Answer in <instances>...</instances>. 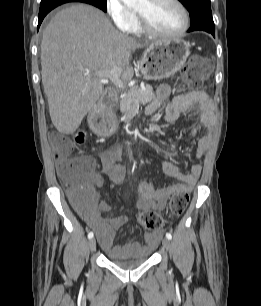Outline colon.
Returning a JSON list of instances; mask_svg holds the SVG:
<instances>
[{"label": "colon", "instance_id": "obj_1", "mask_svg": "<svg viewBox=\"0 0 261 306\" xmlns=\"http://www.w3.org/2000/svg\"><path fill=\"white\" fill-rule=\"evenodd\" d=\"M212 70V64L198 56L191 57L184 66L181 74L183 85L191 92L201 89ZM101 113L95 118L96 124H101L106 131L111 129V117L107 109H100ZM86 139L84 132H79L74 141L82 143ZM56 153L65 160L59 168V175L63 182L70 187L72 197L76 203H82L91 195L88 186V167L82 158H71L69 153L73 149L72 140L69 138H57L54 141ZM189 202L186 192H176L170 200V212L173 216L184 213ZM139 225L146 230H158L163 227L165 218L155 211H144L138 217Z\"/></svg>", "mask_w": 261, "mask_h": 306}]
</instances>
